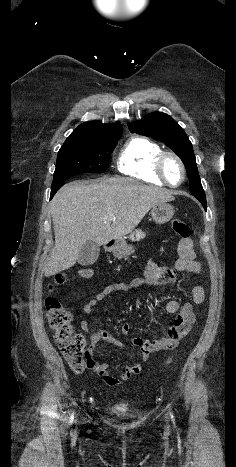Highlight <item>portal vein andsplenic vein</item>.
Here are the masks:
<instances>
[{"label": "portal vein and splenic vein", "instance_id": "1", "mask_svg": "<svg viewBox=\"0 0 236 467\" xmlns=\"http://www.w3.org/2000/svg\"><path fill=\"white\" fill-rule=\"evenodd\" d=\"M110 218H111V219H115V216H114V215H111Z\"/></svg>", "mask_w": 236, "mask_h": 467}]
</instances>
